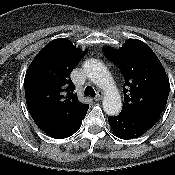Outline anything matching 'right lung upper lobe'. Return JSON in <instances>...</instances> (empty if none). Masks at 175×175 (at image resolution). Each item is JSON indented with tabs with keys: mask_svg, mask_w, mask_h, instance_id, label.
<instances>
[{
	"mask_svg": "<svg viewBox=\"0 0 175 175\" xmlns=\"http://www.w3.org/2000/svg\"><path fill=\"white\" fill-rule=\"evenodd\" d=\"M87 50L76 48L65 38L49 42L31 62L24 80L29 112L41 127L58 120H74L87 112L74 93L70 73Z\"/></svg>",
	"mask_w": 175,
	"mask_h": 175,
	"instance_id": "cb5924a9",
	"label": "right lung upper lobe"
}]
</instances>
